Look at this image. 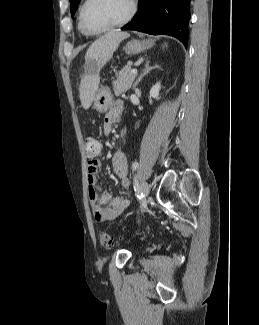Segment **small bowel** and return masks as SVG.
<instances>
[{"instance_id":"small-bowel-1","label":"small bowel","mask_w":259,"mask_h":325,"mask_svg":"<svg viewBox=\"0 0 259 325\" xmlns=\"http://www.w3.org/2000/svg\"><path fill=\"white\" fill-rule=\"evenodd\" d=\"M123 111V102L117 100L112 104L111 109L106 114L103 123V131L106 135L110 134L112 127L121 119ZM103 146L98 149L97 153L88 158V196L95 213L96 220H113L120 216L130 205V198L127 195L114 197L109 192H101L97 186L96 174L101 167L99 155L102 153ZM111 164L115 175L120 180L123 189H128L130 180L127 176L128 166L127 158L123 152H116L111 158ZM105 206V207H103Z\"/></svg>"}]
</instances>
